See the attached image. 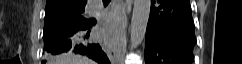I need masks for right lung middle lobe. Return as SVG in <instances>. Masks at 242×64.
Returning a JSON list of instances; mask_svg holds the SVG:
<instances>
[{
    "mask_svg": "<svg viewBox=\"0 0 242 64\" xmlns=\"http://www.w3.org/2000/svg\"><path fill=\"white\" fill-rule=\"evenodd\" d=\"M85 6L73 10H57L45 13V25L43 32L44 44L57 34L73 28L87 27L95 22L92 18L83 16Z\"/></svg>",
    "mask_w": 242,
    "mask_h": 64,
    "instance_id": "dd1d6c3e",
    "label": "right lung middle lobe"
}]
</instances>
